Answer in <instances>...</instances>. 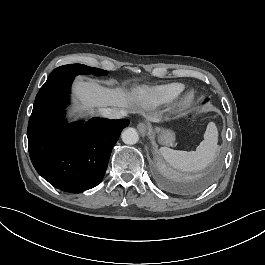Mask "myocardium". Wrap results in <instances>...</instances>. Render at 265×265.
<instances>
[{"label": "myocardium", "instance_id": "myocardium-1", "mask_svg": "<svg viewBox=\"0 0 265 265\" xmlns=\"http://www.w3.org/2000/svg\"><path fill=\"white\" fill-rule=\"evenodd\" d=\"M199 100V92L193 87H185L175 100L173 110L176 112L192 108Z\"/></svg>", "mask_w": 265, "mask_h": 265}]
</instances>
